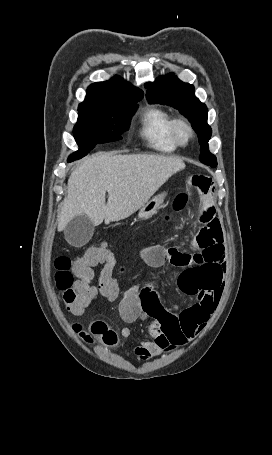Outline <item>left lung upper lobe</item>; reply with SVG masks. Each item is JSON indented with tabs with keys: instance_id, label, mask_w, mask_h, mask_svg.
Segmentation results:
<instances>
[{
	"instance_id": "obj_1",
	"label": "left lung upper lobe",
	"mask_w": 272,
	"mask_h": 455,
	"mask_svg": "<svg viewBox=\"0 0 272 455\" xmlns=\"http://www.w3.org/2000/svg\"><path fill=\"white\" fill-rule=\"evenodd\" d=\"M147 99L151 103H160L179 109L188 118L193 129L198 134L200 149V161L211 167L217 166L216 157L210 153L208 141L212 130L207 124V107L201 103L194 94V86L183 83L173 74L159 77L153 83H146Z\"/></svg>"
}]
</instances>
